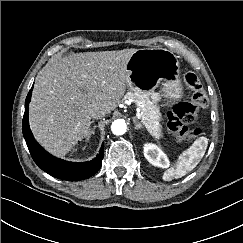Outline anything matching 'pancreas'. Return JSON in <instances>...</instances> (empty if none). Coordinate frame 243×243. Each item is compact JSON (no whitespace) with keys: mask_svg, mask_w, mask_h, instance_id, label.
I'll use <instances>...</instances> for the list:
<instances>
[{"mask_svg":"<svg viewBox=\"0 0 243 243\" xmlns=\"http://www.w3.org/2000/svg\"><path fill=\"white\" fill-rule=\"evenodd\" d=\"M124 99H132L140 109L142 123L155 140L163 137L159 109L150 100L149 94L142 90L128 92Z\"/></svg>","mask_w":243,"mask_h":243,"instance_id":"obj_1","label":"pancreas"}]
</instances>
